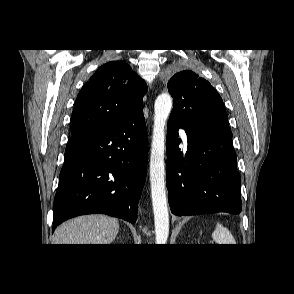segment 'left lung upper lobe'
<instances>
[{"label": "left lung upper lobe", "instance_id": "obj_1", "mask_svg": "<svg viewBox=\"0 0 294 294\" xmlns=\"http://www.w3.org/2000/svg\"><path fill=\"white\" fill-rule=\"evenodd\" d=\"M167 87L174 100L170 117L191 129L231 132L222 98L204 78L183 70L172 76Z\"/></svg>", "mask_w": 294, "mask_h": 294}]
</instances>
